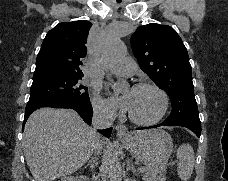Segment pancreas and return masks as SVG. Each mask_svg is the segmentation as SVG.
Returning <instances> with one entry per match:
<instances>
[{"instance_id": "obj_1", "label": "pancreas", "mask_w": 228, "mask_h": 181, "mask_svg": "<svg viewBox=\"0 0 228 181\" xmlns=\"http://www.w3.org/2000/svg\"><path fill=\"white\" fill-rule=\"evenodd\" d=\"M144 175V181H166V177L164 175H155V173H150L149 169L146 167H142Z\"/></svg>"}]
</instances>
